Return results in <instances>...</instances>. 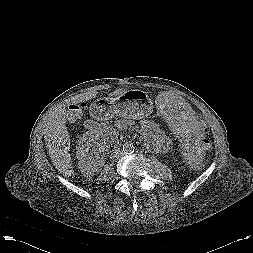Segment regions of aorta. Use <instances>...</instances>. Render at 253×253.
<instances>
[{
	"instance_id": "aorta-1",
	"label": "aorta",
	"mask_w": 253,
	"mask_h": 253,
	"mask_svg": "<svg viewBox=\"0 0 253 253\" xmlns=\"http://www.w3.org/2000/svg\"><path fill=\"white\" fill-rule=\"evenodd\" d=\"M152 150L155 152L154 149H152ZM123 151H124V153H131L134 151V147L132 144L124 143L123 144Z\"/></svg>"
}]
</instances>
